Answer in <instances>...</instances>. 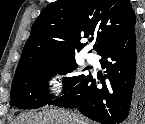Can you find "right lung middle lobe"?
Here are the masks:
<instances>
[{
    "mask_svg": "<svg viewBox=\"0 0 145 124\" xmlns=\"http://www.w3.org/2000/svg\"><path fill=\"white\" fill-rule=\"evenodd\" d=\"M77 68L75 56L45 60L15 76L11 88L12 103L19 109H34L47 105L54 96L48 90V81L56 73L64 75ZM87 76L64 79L63 93L69 91Z\"/></svg>",
    "mask_w": 145,
    "mask_h": 124,
    "instance_id": "right-lung-middle-lobe-1",
    "label": "right lung middle lobe"
}]
</instances>
